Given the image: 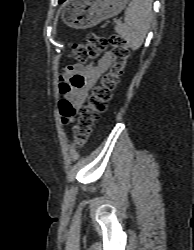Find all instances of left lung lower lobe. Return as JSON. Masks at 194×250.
Listing matches in <instances>:
<instances>
[{"label": "left lung lower lobe", "mask_w": 194, "mask_h": 250, "mask_svg": "<svg viewBox=\"0 0 194 250\" xmlns=\"http://www.w3.org/2000/svg\"><path fill=\"white\" fill-rule=\"evenodd\" d=\"M64 1H65V0H60L59 3H62V2H64Z\"/></svg>", "instance_id": "left-lung-lower-lobe-1"}]
</instances>
